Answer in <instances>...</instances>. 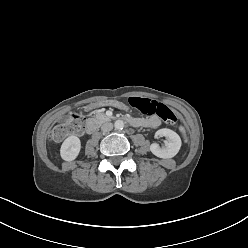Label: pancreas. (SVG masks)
<instances>
[{"instance_id": "pancreas-1", "label": "pancreas", "mask_w": 248, "mask_h": 248, "mask_svg": "<svg viewBox=\"0 0 248 248\" xmlns=\"http://www.w3.org/2000/svg\"><path fill=\"white\" fill-rule=\"evenodd\" d=\"M94 120L97 123L101 124L103 122L109 121L110 120V117H108L105 113L99 111V112H97Z\"/></svg>"}]
</instances>
